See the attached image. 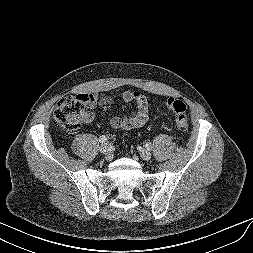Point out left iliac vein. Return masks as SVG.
I'll use <instances>...</instances> for the list:
<instances>
[{
  "instance_id": "4c4485c4",
  "label": "left iliac vein",
  "mask_w": 253,
  "mask_h": 253,
  "mask_svg": "<svg viewBox=\"0 0 253 253\" xmlns=\"http://www.w3.org/2000/svg\"><path fill=\"white\" fill-rule=\"evenodd\" d=\"M140 156L144 161H149L151 159V153L145 149L140 151Z\"/></svg>"
}]
</instances>
